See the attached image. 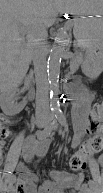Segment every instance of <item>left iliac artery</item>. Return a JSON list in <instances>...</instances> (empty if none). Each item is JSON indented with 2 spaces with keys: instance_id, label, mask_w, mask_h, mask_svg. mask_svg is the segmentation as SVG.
I'll use <instances>...</instances> for the list:
<instances>
[{
  "instance_id": "left-iliac-artery-1",
  "label": "left iliac artery",
  "mask_w": 103,
  "mask_h": 193,
  "mask_svg": "<svg viewBox=\"0 0 103 193\" xmlns=\"http://www.w3.org/2000/svg\"><path fill=\"white\" fill-rule=\"evenodd\" d=\"M56 118L62 126L65 127L67 125L66 117L61 111L56 114ZM88 184L91 188L95 186V183L93 180H89Z\"/></svg>"
}]
</instances>
